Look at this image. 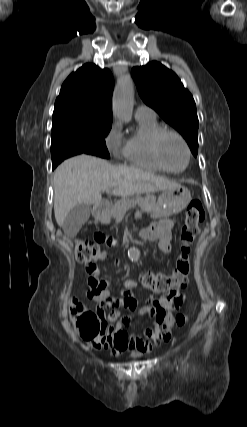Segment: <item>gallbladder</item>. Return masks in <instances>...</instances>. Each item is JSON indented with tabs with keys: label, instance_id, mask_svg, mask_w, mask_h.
Here are the masks:
<instances>
[{
	"label": "gallbladder",
	"instance_id": "obj_1",
	"mask_svg": "<svg viewBox=\"0 0 247 427\" xmlns=\"http://www.w3.org/2000/svg\"><path fill=\"white\" fill-rule=\"evenodd\" d=\"M91 214V206L89 204L76 205L66 216L63 221V231L69 237H74L79 232L80 228L89 219Z\"/></svg>",
	"mask_w": 247,
	"mask_h": 427
}]
</instances>
